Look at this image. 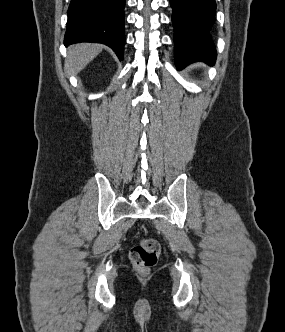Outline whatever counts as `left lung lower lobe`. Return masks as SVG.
<instances>
[{"instance_id": "1", "label": "left lung lower lobe", "mask_w": 285, "mask_h": 332, "mask_svg": "<svg viewBox=\"0 0 285 332\" xmlns=\"http://www.w3.org/2000/svg\"><path fill=\"white\" fill-rule=\"evenodd\" d=\"M170 5L177 68L195 61L213 65L217 52L210 29L215 21V0H170Z\"/></svg>"}]
</instances>
